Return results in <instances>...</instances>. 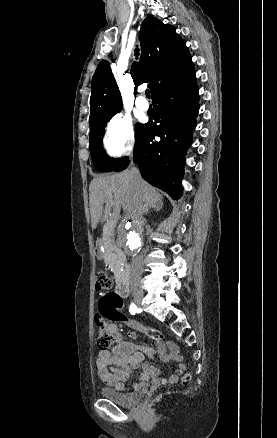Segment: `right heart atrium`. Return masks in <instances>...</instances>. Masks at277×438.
<instances>
[{
  "instance_id": "obj_1",
  "label": "right heart atrium",
  "mask_w": 277,
  "mask_h": 438,
  "mask_svg": "<svg viewBox=\"0 0 277 438\" xmlns=\"http://www.w3.org/2000/svg\"><path fill=\"white\" fill-rule=\"evenodd\" d=\"M106 137L108 145L115 153H128L132 150L135 134L127 114L118 113L110 120L106 128Z\"/></svg>"
}]
</instances>
